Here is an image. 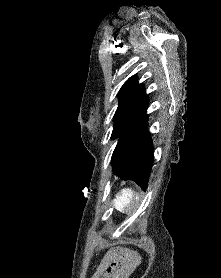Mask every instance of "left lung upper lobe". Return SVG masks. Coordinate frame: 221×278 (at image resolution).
<instances>
[{
  "label": "left lung upper lobe",
  "mask_w": 221,
  "mask_h": 278,
  "mask_svg": "<svg viewBox=\"0 0 221 278\" xmlns=\"http://www.w3.org/2000/svg\"><path fill=\"white\" fill-rule=\"evenodd\" d=\"M147 106L148 97L145 94L144 86L138 84L136 76H132L119 91V106L114 116L115 124L111 139L119 137V143L143 114Z\"/></svg>",
  "instance_id": "1"
}]
</instances>
